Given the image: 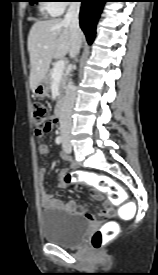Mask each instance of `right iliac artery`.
I'll return each mask as SVG.
<instances>
[{
	"mask_svg": "<svg viewBox=\"0 0 158 275\" xmlns=\"http://www.w3.org/2000/svg\"><path fill=\"white\" fill-rule=\"evenodd\" d=\"M55 142H56L57 144H60V143L62 142V137H61V136H58V137L56 138Z\"/></svg>",
	"mask_w": 158,
	"mask_h": 275,
	"instance_id": "right-iliac-artery-1",
	"label": "right iliac artery"
}]
</instances>
